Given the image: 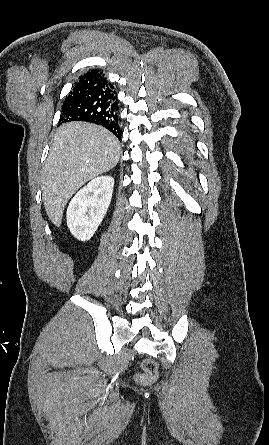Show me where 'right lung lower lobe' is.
<instances>
[{"mask_svg":"<svg viewBox=\"0 0 269 445\" xmlns=\"http://www.w3.org/2000/svg\"><path fill=\"white\" fill-rule=\"evenodd\" d=\"M104 74L92 69L79 77L63 102L60 123L86 121L102 125L121 139L117 93Z\"/></svg>","mask_w":269,"mask_h":445,"instance_id":"98d812e1","label":"right lung lower lobe"}]
</instances>
